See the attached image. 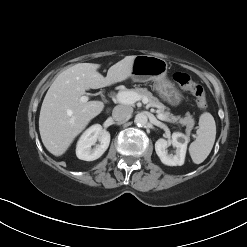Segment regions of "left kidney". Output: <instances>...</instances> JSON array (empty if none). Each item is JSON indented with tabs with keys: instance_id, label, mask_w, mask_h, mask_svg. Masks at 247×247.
Instances as JSON below:
<instances>
[{
	"instance_id": "1",
	"label": "left kidney",
	"mask_w": 247,
	"mask_h": 247,
	"mask_svg": "<svg viewBox=\"0 0 247 247\" xmlns=\"http://www.w3.org/2000/svg\"><path fill=\"white\" fill-rule=\"evenodd\" d=\"M188 141L189 138L182 133H173L170 141L160 138L155 143L156 154L165 165L181 166L184 164ZM170 144L176 148L175 155L167 152Z\"/></svg>"
}]
</instances>
